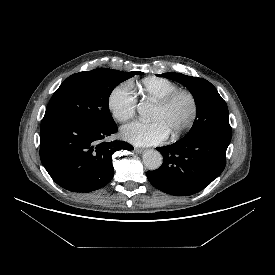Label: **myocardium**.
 I'll return each instance as SVG.
<instances>
[{"mask_svg": "<svg viewBox=\"0 0 275 275\" xmlns=\"http://www.w3.org/2000/svg\"><path fill=\"white\" fill-rule=\"evenodd\" d=\"M185 95L188 97L191 103V113L187 120V122L179 128L177 131L171 133V137L173 139L179 138L181 135H183L185 132H187L194 124L197 114H198V103L195 95L188 89H177L176 91L170 93L166 97H164L162 100L158 101L156 103V106L161 109H167L169 108L177 98L180 96Z\"/></svg>", "mask_w": 275, "mask_h": 275, "instance_id": "obj_1", "label": "myocardium"}]
</instances>
